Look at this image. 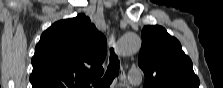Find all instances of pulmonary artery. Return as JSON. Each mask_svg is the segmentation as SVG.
I'll return each instance as SVG.
<instances>
[{
	"label": "pulmonary artery",
	"instance_id": "obj_1",
	"mask_svg": "<svg viewBox=\"0 0 223 88\" xmlns=\"http://www.w3.org/2000/svg\"><path fill=\"white\" fill-rule=\"evenodd\" d=\"M142 80V75L140 70L138 69H131L128 73V77H127V84L129 85H139L141 83Z\"/></svg>",
	"mask_w": 223,
	"mask_h": 88
}]
</instances>
